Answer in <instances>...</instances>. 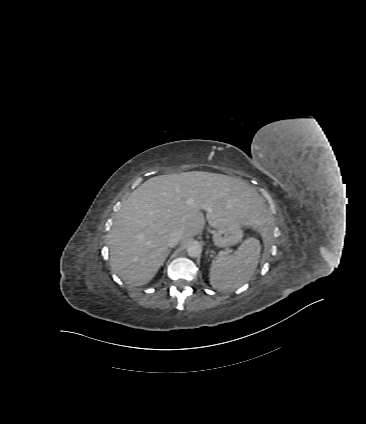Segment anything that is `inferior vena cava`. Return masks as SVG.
<instances>
[{"label":"inferior vena cava","mask_w":366,"mask_h":424,"mask_svg":"<svg viewBox=\"0 0 366 424\" xmlns=\"http://www.w3.org/2000/svg\"><path fill=\"white\" fill-rule=\"evenodd\" d=\"M182 239L181 232H175L171 234L167 239V245L171 248L175 247Z\"/></svg>","instance_id":"1"}]
</instances>
